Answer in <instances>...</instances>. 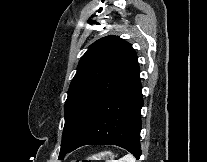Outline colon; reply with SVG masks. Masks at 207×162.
I'll list each match as a JSON object with an SVG mask.
<instances>
[{"mask_svg":"<svg viewBox=\"0 0 207 162\" xmlns=\"http://www.w3.org/2000/svg\"><path fill=\"white\" fill-rule=\"evenodd\" d=\"M71 162H92V161H89V160H76V161H71Z\"/></svg>","mask_w":207,"mask_h":162,"instance_id":"colon-1","label":"colon"}]
</instances>
